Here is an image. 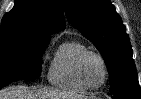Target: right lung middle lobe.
I'll return each mask as SVG.
<instances>
[{
	"label": "right lung middle lobe",
	"instance_id": "obj_1",
	"mask_svg": "<svg viewBox=\"0 0 141 99\" xmlns=\"http://www.w3.org/2000/svg\"><path fill=\"white\" fill-rule=\"evenodd\" d=\"M48 43L31 37L0 36V89L13 81L39 77Z\"/></svg>",
	"mask_w": 141,
	"mask_h": 99
}]
</instances>
